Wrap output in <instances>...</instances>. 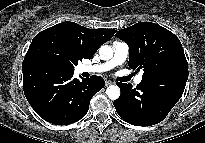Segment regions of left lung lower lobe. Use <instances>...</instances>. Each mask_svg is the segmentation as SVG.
Listing matches in <instances>:
<instances>
[{
    "mask_svg": "<svg viewBox=\"0 0 205 143\" xmlns=\"http://www.w3.org/2000/svg\"><path fill=\"white\" fill-rule=\"evenodd\" d=\"M188 73L170 71L142 78L137 88L116 84L121 96L114 101L118 115L135 126H151L161 122L181 98Z\"/></svg>",
    "mask_w": 205,
    "mask_h": 143,
    "instance_id": "obj_1",
    "label": "left lung lower lobe"
}]
</instances>
